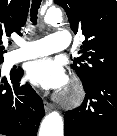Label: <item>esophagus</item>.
Returning a JSON list of instances; mask_svg holds the SVG:
<instances>
[{"mask_svg":"<svg viewBox=\"0 0 117 136\" xmlns=\"http://www.w3.org/2000/svg\"><path fill=\"white\" fill-rule=\"evenodd\" d=\"M44 108H45L46 112H49L52 108V105L48 101H45L44 102Z\"/></svg>","mask_w":117,"mask_h":136,"instance_id":"esophagus-1","label":"esophagus"}]
</instances>
